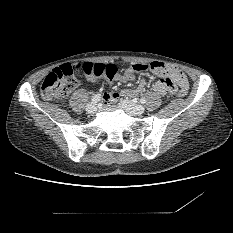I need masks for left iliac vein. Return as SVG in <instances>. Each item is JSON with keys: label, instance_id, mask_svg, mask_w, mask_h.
Segmentation results:
<instances>
[{"label": "left iliac vein", "instance_id": "4c4485c4", "mask_svg": "<svg viewBox=\"0 0 233 233\" xmlns=\"http://www.w3.org/2000/svg\"><path fill=\"white\" fill-rule=\"evenodd\" d=\"M120 104L125 109V111L130 115H141L145 111V108L142 105L131 102L129 100L121 99Z\"/></svg>", "mask_w": 233, "mask_h": 233}]
</instances>
